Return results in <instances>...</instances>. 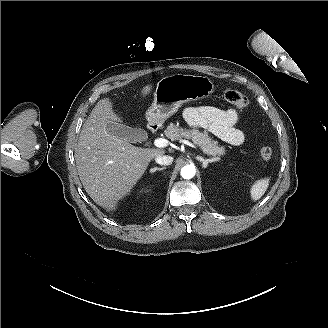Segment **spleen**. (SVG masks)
<instances>
[{
	"mask_svg": "<svg viewBox=\"0 0 328 328\" xmlns=\"http://www.w3.org/2000/svg\"><path fill=\"white\" fill-rule=\"evenodd\" d=\"M270 184L269 178H261L256 180L249 188L250 199L257 202L265 194Z\"/></svg>",
	"mask_w": 328,
	"mask_h": 328,
	"instance_id": "1",
	"label": "spleen"
}]
</instances>
